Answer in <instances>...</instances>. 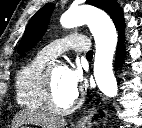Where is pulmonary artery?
Listing matches in <instances>:
<instances>
[{
    "mask_svg": "<svg viewBox=\"0 0 142 128\" xmlns=\"http://www.w3.org/2000/svg\"><path fill=\"white\" fill-rule=\"evenodd\" d=\"M67 50L87 53L90 50L88 38L78 33H71L66 37L51 42L40 53L49 59H53Z\"/></svg>",
    "mask_w": 142,
    "mask_h": 128,
    "instance_id": "pulmonary-artery-1",
    "label": "pulmonary artery"
}]
</instances>
